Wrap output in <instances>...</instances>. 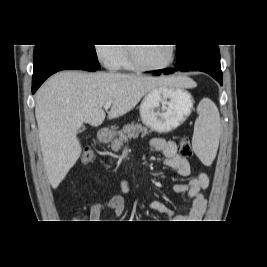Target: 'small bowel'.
<instances>
[{"label":"small bowel","mask_w":267,"mask_h":267,"mask_svg":"<svg viewBox=\"0 0 267 267\" xmlns=\"http://www.w3.org/2000/svg\"><path fill=\"white\" fill-rule=\"evenodd\" d=\"M150 147L157 152H160L165 158V165L175 170L179 175L189 176L191 174L189 162L179 155L174 141L154 138L150 141ZM208 184V175L200 171L192 177L188 183L176 184L173 187L175 193H185L192 200V206L185 215L175 216L174 212L168 206L159 201H152L149 206L151 209L165 216L168 220H177L175 222H196L202 218L206 209V200L201 191L207 188ZM120 188L123 193H129V181L127 179H122L120 182ZM105 209H112L114 217L120 218L125 211L124 197L116 194L107 200H96L92 202L82 219L89 222H98L100 220L101 213Z\"/></svg>","instance_id":"1"}]
</instances>
